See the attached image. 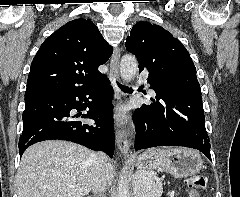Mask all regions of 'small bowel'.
<instances>
[{
  "label": "small bowel",
  "instance_id": "small-bowel-1",
  "mask_svg": "<svg viewBox=\"0 0 240 197\" xmlns=\"http://www.w3.org/2000/svg\"><path fill=\"white\" fill-rule=\"evenodd\" d=\"M191 197H196V192L195 191H191Z\"/></svg>",
  "mask_w": 240,
  "mask_h": 197
}]
</instances>
